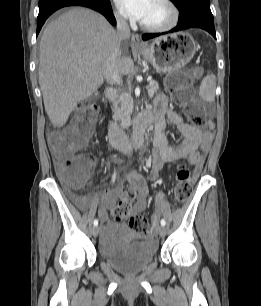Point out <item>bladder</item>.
Listing matches in <instances>:
<instances>
[{
    "mask_svg": "<svg viewBox=\"0 0 261 306\" xmlns=\"http://www.w3.org/2000/svg\"><path fill=\"white\" fill-rule=\"evenodd\" d=\"M156 251L153 240L129 242L122 236L102 242L99 247L101 259L125 274H133L148 267L155 260Z\"/></svg>",
    "mask_w": 261,
    "mask_h": 306,
    "instance_id": "obj_1",
    "label": "bladder"
}]
</instances>
